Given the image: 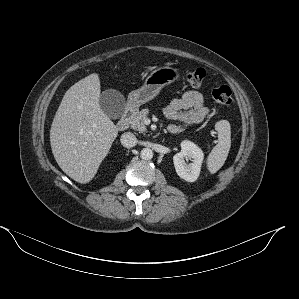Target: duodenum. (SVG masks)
Segmentation results:
<instances>
[{"mask_svg": "<svg viewBox=\"0 0 299 299\" xmlns=\"http://www.w3.org/2000/svg\"><path fill=\"white\" fill-rule=\"evenodd\" d=\"M132 114H133V109H132V107H131V106L126 107V109L124 110V112H123L121 118H120L119 121L117 122V128H118L119 130H125V129L128 128L129 121H130V118H131ZM168 131H169L170 133H174V131L171 130V129H169V128H168Z\"/></svg>", "mask_w": 299, "mask_h": 299, "instance_id": "410a0bca", "label": "duodenum"}]
</instances>
